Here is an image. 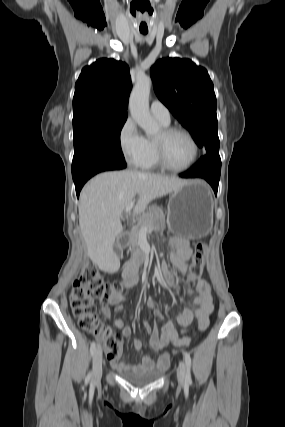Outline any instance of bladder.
Wrapping results in <instances>:
<instances>
[{"label":"bladder","mask_w":285,"mask_h":427,"mask_svg":"<svg viewBox=\"0 0 285 427\" xmlns=\"http://www.w3.org/2000/svg\"><path fill=\"white\" fill-rule=\"evenodd\" d=\"M122 376L130 383L136 386H145L158 380L162 374V370H156L148 373L136 374L131 371H122Z\"/></svg>","instance_id":"bladder-1"}]
</instances>
